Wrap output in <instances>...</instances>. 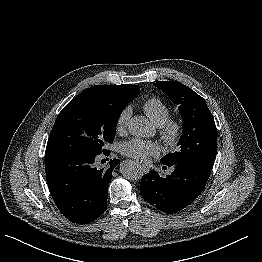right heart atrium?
<instances>
[{"label":"right heart atrium","mask_w":262,"mask_h":262,"mask_svg":"<svg viewBox=\"0 0 262 262\" xmlns=\"http://www.w3.org/2000/svg\"><path fill=\"white\" fill-rule=\"evenodd\" d=\"M131 115H132V108L130 106H126L119 113L115 125L116 131L118 133H124L127 130Z\"/></svg>","instance_id":"d8ad5b80"}]
</instances>
